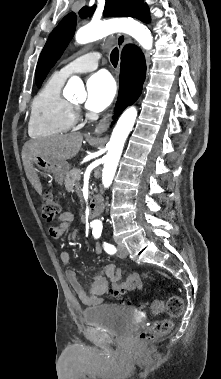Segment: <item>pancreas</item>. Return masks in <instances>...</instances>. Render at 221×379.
I'll use <instances>...</instances> for the list:
<instances>
[{"label":"pancreas","mask_w":221,"mask_h":379,"mask_svg":"<svg viewBox=\"0 0 221 379\" xmlns=\"http://www.w3.org/2000/svg\"><path fill=\"white\" fill-rule=\"evenodd\" d=\"M81 170L77 168L71 169L65 178V187L71 191L74 187L78 189Z\"/></svg>","instance_id":"pancreas-1"}]
</instances>
